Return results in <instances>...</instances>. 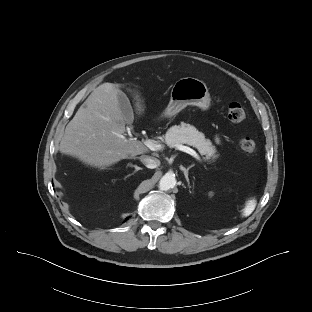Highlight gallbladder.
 I'll use <instances>...</instances> for the list:
<instances>
[{
  "label": "gallbladder",
  "instance_id": "gallbladder-1",
  "mask_svg": "<svg viewBox=\"0 0 312 312\" xmlns=\"http://www.w3.org/2000/svg\"><path fill=\"white\" fill-rule=\"evenodd\" d=\"M119 106L126 120L131 123L133 119V110L128 97L123 93L118 94Z\"/></svg>",
  "mask_w": 312,
  "mask_h": 312
}]
</instances>
